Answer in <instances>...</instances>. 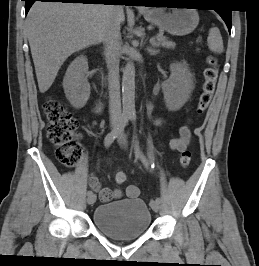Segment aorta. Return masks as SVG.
<instances>
[{
	"label": "aorta",
	"instance_id": "aorta-1",
	"mask_svg": "<svg viewBox=\"0 0 259 266\" xmlns=\"http://www.w3.org/2000/svg\"><path fill=\"white\" fill-rule=\"evenodd\" d=\"M122 105L124 116L131 117L135 114V66L131 61L123 70Z\"/></svg>",
	"mask_w": 259,
	"mask_h": 266
}]
</instances>
